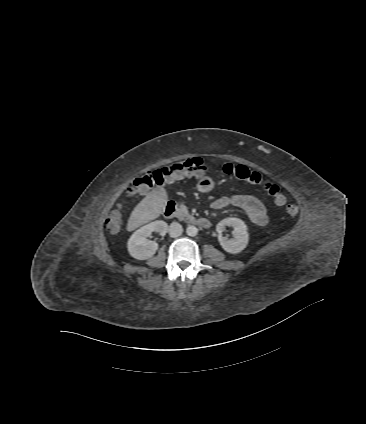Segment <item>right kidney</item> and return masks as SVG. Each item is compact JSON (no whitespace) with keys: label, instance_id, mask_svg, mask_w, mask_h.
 <instances>
[{"label":"right kidney","instance_id":"1","mask_svg":"<svg viewBox=\"0 0 366 424\" xmlns=\"http://www.w3.org/2000/svg\"><path fill=\"white\" fill-rule=\"evenodd\" d=\"M168 231V224L164 221L157 220L151 222L137 231L129 238L127 248L129 254L137 260H146L151 258L158 249V244L155 241L147 239L152 232H157L164 236Z\"/></svg>","mask_w":366,"mask_h":424}]
</instances>
